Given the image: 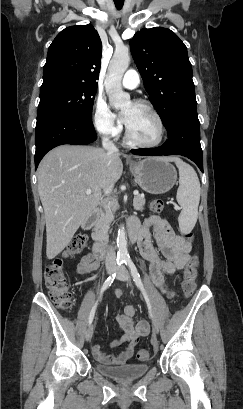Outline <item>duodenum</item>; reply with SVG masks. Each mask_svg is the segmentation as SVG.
Instances as JSON below:
<instances>
[{
	"label": "duodenum",
	"instance_id": "obj_1",
	"mask_svg": "<svg viewBox=\"0 0 243 409\" xmlns=\"http://www.w3.org/2000/svg\"><path fill=\"white\" fill-rule=\"evenodd\" d=\"M98 218V212L96 210H94L91 215L89 216V218L86 221L87 225H91L93 223L96 222ZM129 237L130 240L133 244H136L139 240V233L137 230L134 229H130L129 230ZM92 253L94 255V257L96 259H103L106 257L107 253H108V247L107 245L99 242L98 240H95L93 246H92Z\"/></svg>",
	"mask_w": 243,
	"mask_h": 409
}]
</instances>
